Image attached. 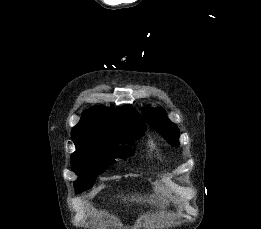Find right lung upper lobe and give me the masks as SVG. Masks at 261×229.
<instances>
[{
    "mask_svg": "<svg viewBox=\"0 0 261 229\" xmlns=\"http://www.w3.org/2000/svg\"><path fill=\"white\" fill-rule=\"evenodd\" d=\"M133 124L146 126L132 106L117 109L94 107L82 114L80 122L72 129V139L76 147L86 145L112 147L125 144L117 129Z\"/></svg>",
    "mask_w": 261,
    "mask_h": 229,
    "instance_id": "cb5924a9",
    "label": "right lung upper lobe"
}]
</instances>
